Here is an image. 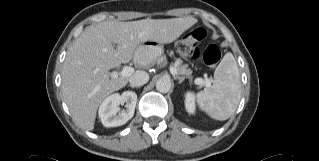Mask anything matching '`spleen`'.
I'll use <instances>...</instances> for the list:
<instances>
[{"label":"spleen","mask_w":319,"mask_h":161,"mask_svg":"<svg viewBox=\"0 0 319 161\" xmlns=\"http://www.w3.org/2000/svg\"><path fill=\"white\" fill-rule=\"evenodd\" d=\"M241 96V80L232 53L228 52L217 66L214 82L197 94L199 107L216 120H227L236 111Z\"/></svg>","instance_id":"1"}]
</instances>
